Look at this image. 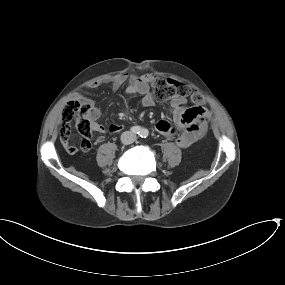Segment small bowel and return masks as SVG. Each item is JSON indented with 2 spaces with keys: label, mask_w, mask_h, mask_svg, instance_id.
<instances>
[{
  "label": "small bowel",
  "mask_w": 285,
  "mask_h": 285,
  "mask_svg": "<svg viewBox=\"0 0 285 285\" xmlns=\"http://www.w3.org/2000/svg\"><path fill=\"white\" fill-rule=\"evenodd\" d=\"M124 75H117L109 79H101L91 82L88 88L95 90L103 84L110 83L113 90H118L125 82ZM153 80V75H138L131 76L128 80L126 93L128 95L141 96V104L144 107H153L155 100L150 93V82ZM85 98L89 100L87 93H79L74 99ZM184 98H175L170 104V110L173 115V123L166 119H161L156 123L158 133L168 139H174L175 144L180 148H188L201 140L206 134V118L208 112L203 107L190 108L186 105ZM100 110L94 108L90 114L92 131L97 133L116 134L123 129L120 123H113L108 126L98 121ZM70 135V129H67V137ZM65 150L68 154L74 155L79 151H90L92 143L89 139H84L79 145L65 143Z\"/></svg>",
  "instance_id": "c3829d8e"
}]
</instances>
